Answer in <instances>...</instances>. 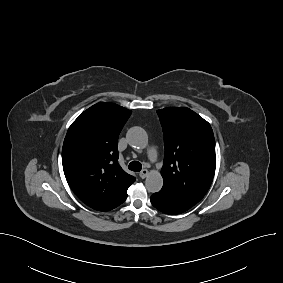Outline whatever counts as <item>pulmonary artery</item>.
<instances>
[{"label": "pulmonary artery", "mask_w": 283, "mask_h": 283, "mask_svg": "<svg viewBox=\"0 0 283 283\" xmlns=\"http://www.w3.org/2000/svg\"><path fill=\"white\" fill-rule=\"evenodd\" d=\"M148 157L150 160L155 161L157 159V152L154 147H151L148 151Z\"/></svg>", "instance_id": "1"}]
</instances>
